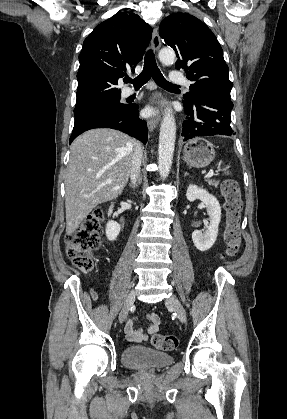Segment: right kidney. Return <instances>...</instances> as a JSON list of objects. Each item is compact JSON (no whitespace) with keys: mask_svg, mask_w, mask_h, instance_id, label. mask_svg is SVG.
I'll return each mask as SVG.
<instances>
[{"mask_svg":"<svg viewBox=\"0 0 287 419\" xmlns=\"http://www.w3.org/2000/svg\"><path fill=\"white\" fill-rule=\"evenodd\" d=\"M113 207L114 205L111 204L109 210H108V215L110 216L113 212ZM120 233V225L113 220L108 221L107 225H106V236L108 238V240L110 241H114L117 236Z\"/></svg>","mask_w":287,"mask_h":419,"instance_id":"1","label":"right kidney"}]
</instances>
